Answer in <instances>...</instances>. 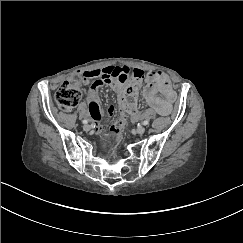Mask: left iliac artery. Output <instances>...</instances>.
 <instances>
[{
    "label": "left iliac artery",
    "instance_id": "1",
    "mask_svg": "<svg viewBox=\"0 0 243 243\" xmlns=\"http://www.w3.org/2000/svg\"><path fill=\"white\" fill-rule=\"evenodd\" d=\"M142 124H143L144 126H147V125L149 124V121H148V120H145V121L142 122Z\"/></svg>",
    "mask_w": 243,
    "mask_h": 243
}]
</instances>
